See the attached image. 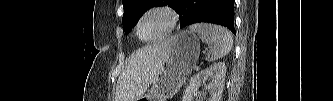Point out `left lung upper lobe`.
I'll list each match as a JSON object with an SVG mask.
<instances>
[{
    "label": "left lung upper lobe",
    "mask_w": 333,
    "mask_h": 101,
    "mask_svg": "<svg viewBox=\"0 0 333 101\" xmlns=\"http://www.w3.org/2000/svg\"><path fill=\"white\" fill-rule=\"evenodd\" d=\"M180 0H122L124 14L122 18L125 34H128L142 14L155 5L167 4L180 15Z\"/></svg>",
    "instance_id": "1"
}]
</instances>
